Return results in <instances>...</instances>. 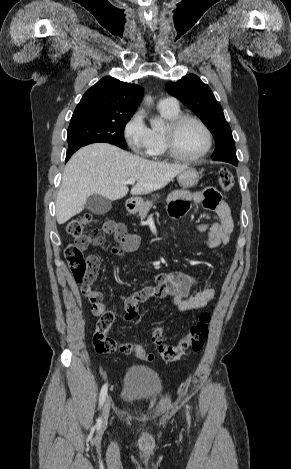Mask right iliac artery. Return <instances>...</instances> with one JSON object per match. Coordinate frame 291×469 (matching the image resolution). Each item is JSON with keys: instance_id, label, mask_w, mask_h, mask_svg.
Segmentation results:
<instances>
[{"instance_id": "obj_1", "label": "right iliac artery", "mask_w": 291, "mask_h": 469, "mask_svg": "<svg viewBox=\"0 0 291 469\" xmlns=\"http://www.w3.org/2000/svg\"><path fill=\"white\" fill-rule=\"evenodd\" d=\"M107 384H104L102 389H101V392H100V396H99V406L100 408L102 407L104 401H105V398H106V395H107ZM98 424H101V419L99 418L98 421H97Z\"/></svg>"}]
</instances>
